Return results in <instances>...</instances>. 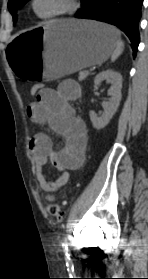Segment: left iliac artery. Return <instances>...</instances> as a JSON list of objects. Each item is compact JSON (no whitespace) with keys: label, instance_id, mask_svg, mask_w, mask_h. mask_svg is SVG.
I'll return each instance as SVG.
<instances>
[{"label":"left iliac artery","instance_id":"44dca946","mask_svg":"<svg viewBox=\"0 0 148 279\" xmlns=\"http://www.w3.org/2000/svg\"><path fill=\"white\" fill-rule=\"evenodd\" d=\"M62 247H63L64 252L68 250V244H67V240L66 239L62 243Z\"/></svg>","mask_w":148,"mask_h":279}]
</instances>
